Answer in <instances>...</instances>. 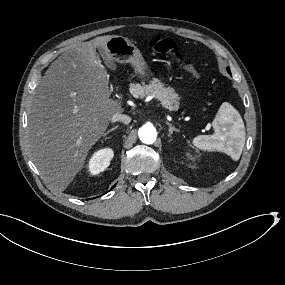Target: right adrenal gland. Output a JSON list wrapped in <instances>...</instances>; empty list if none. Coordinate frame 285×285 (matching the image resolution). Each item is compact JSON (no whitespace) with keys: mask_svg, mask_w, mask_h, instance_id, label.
Here are the masks:
<instances>
[{"mask_svg":"<svg viewBox=\"0 0 285 285\" xmlns=\"http://www.w3.org/2000/svg\"><path fill=\"white\" fill-rule=\"evenodd\" d=\"M117 128H118V126H115V127L111 128V129H109L106 133L103 134V136L106 137L110 132L114 131Z\"/></svg>","mask_w":285,"mask_h":285,"instance_id":"obj_1","label":"right adrenal gland"}]
</instances>
